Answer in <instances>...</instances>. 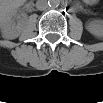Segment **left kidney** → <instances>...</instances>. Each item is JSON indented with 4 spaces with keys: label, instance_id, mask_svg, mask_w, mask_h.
Instances as JSON below:
<instances>
[{
    "label": "left kidney",
    "instance_id": "left-kidney-1",
    "mask_svg": "<svg viewBox=\"0 0 103 103\" xmlns=\"http://www.w3.org/2000/svg\"><path fill=\"white\" fill-rule=\"evenodd\" d=\"M90 32L94 35H101L102 34V30L97 31V30H90Z\"/></svg>",
    "mask_w": 103,
    "mask_h": 103
}]
</instances>
